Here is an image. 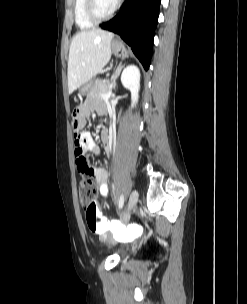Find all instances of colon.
<instances>
[{"label": "colon", "instance_id": "5ec220e1", "mask_svg": "<svg viewBox=\"0 0 247 304\" xmlns=\"http://www.w3.org/2000/svg\"><path fill=\"white\" fill-rule=\"evenodd\" d=\"M79 120V119H73ZM72 120V121H73ZM79 164L82 168L86 167V161L84 158L79 160ZM96 196V186L94 180L90 175H86L79 185V198L82 206L85 209V216L88 228L93 232L100 235H105L109 231H116L118 227L116 223L108 221L102 216L98 206L96 205L94 198ZM117 238H144L145 232L143 227H139L138 224H120L119 230L116 232ZM122 246L127 244L125 239L120 241ZM156 246V243H153Z\"/></svg>", "mask_w": 247, "mask_h": 304}]
</instances>
